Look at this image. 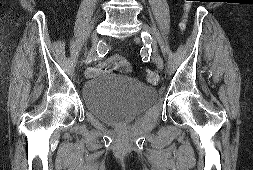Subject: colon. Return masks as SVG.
<instances>
[{
  "label": "colon",
  "mask_w": 253,
  "mask_h": 170,
  "mask_svg": "<svg viewBox=\"0 0 253 170\" xmlns=\"http://www.w3.org/2000/svg\"><path fill=\"white\" fill-rule=\"evenodd\" d=\"M187 1H191V0H187ZM190 9H191L190 2H186L185 6H184V13H183V18H182V23H181L182 28L185 27V23L187 21ZM99 69L100 70L117 69V70H121V71H128L130 69V64L128 63V61L126 59H124L122 57H118L115 60H109V61L102 62L99 65ZM146 80L149 83H157L159 80V75L155 70H149L146 73Z\"/></svg>",
  "instance_id": "colon-1"
}]
</instances>
